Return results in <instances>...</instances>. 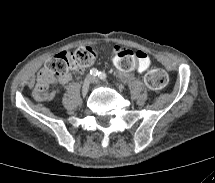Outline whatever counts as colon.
I'll return each instance as SVG.
<instances>
[{"label":"colon","instance_id":"obj_1","mask_svg":"<svg viewBox=\"0 0 215 183\" xmlns=\"http://www.w3.org/2000/svg\"><path fill=\"white\" fill-rule=\"evenodd\" d=\"M96 58V53L89 47H81L74 52H61L47 61L43 80L59 79L71 70H84L91 66ZM145 82L151 89H161L167 83V74L159 68L150 70L145 75Z\"/></svg>","mask_w":215,"mask_h":183}]
</instances>
